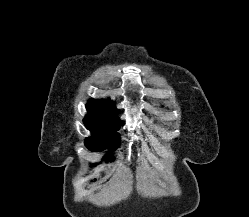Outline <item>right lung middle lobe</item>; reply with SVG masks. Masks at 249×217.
<instances>
[{
  "instance_id": "dd1d6c3e",
  "label": "right lung middle lobe",
  "mask_w": 249,
  "mask_h": 217,
  "mask_svg": "<svg viewBox=\"0 0 249 217\" xmlns=\"http://www.w3.org/2000/svg\"><path fill=\"white\" fill-rule=\"evenodd\" d=\"M84 124L92 133V137L85 140V145L89 150L97 152L106 148L112 150L119 146L120 134L117 133L121 124L119 121L89 112L84 119ZM113 159L112 153L104 156L105 161Z\"/></svg>"
}]
</instances>
